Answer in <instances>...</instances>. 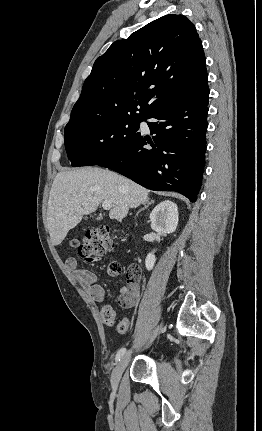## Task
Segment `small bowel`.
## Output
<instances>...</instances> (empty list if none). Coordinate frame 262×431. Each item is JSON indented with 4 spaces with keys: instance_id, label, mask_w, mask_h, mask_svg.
Wrapping results in <instances>:
<instances>
[{
    "instance_id": "1",
    "label": "small bowel",
    "mask_w": 262,
    "mask_h": 431,
    "mask_svg": "<svg viewBox=\"0 0 262 431\" xmlns=\"http://www.w3.org/2000/svg\"><path fill=\"white\" fill-rule=\"evenodd\" d=\"M67 268L73 273L76 281L83 287L88 295L95 301L101 303V312L106 314L111 310V316L116 318V312L110 304L106 303V294L104 288L98 284L96 276L88 269L79 268L75 258L66 260ZM140 300L139 280L133 279L123 285L120 289L119 303L124 307H134ZM118 330V329H117ZM119 333H122L118 330ZM125 333V332H124Z\"/></svg>"
}]
</instances>
